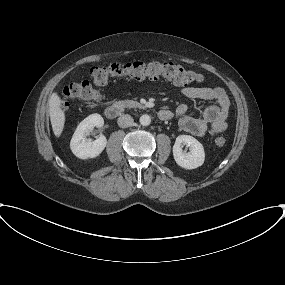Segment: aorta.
I'll return each mask as SVG.
<instances>
[{
    "instance_id": "obj_1",
    "label": "aorta",
    "mask_w": 285,
    "mask_h": 285,
    "mask_svg": "<svg viewBox=\"0 0 285 285\" xmlns=\"http://www.w3.org/2000/svg\"><path fill=\"white\" fill-rule=\"evenodd\" d=\"M139 122L142 126H148L151 123V117L147 114H144L140 117Z\"/></svg>"
}]
</instances>
